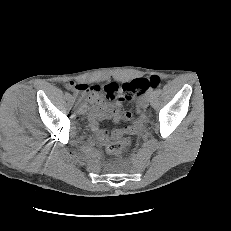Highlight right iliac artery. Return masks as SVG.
Returning <instances> with one entry per match:
<instances>
[{"label": "right iliac artery", "instance_id": "82829eb1", "mask_svg": "<svg viewBox=\"0 0 231 231\" xmlns=\"http://www.w3.org/2000/svg\"><path fill=\"white\" fill-rule=\"evenodd\" d=\"M75 98H78V94L77 93H74L73 94Z\"/></svg>", "mask_w": 231, "mask_h": 231}]
</instances>
